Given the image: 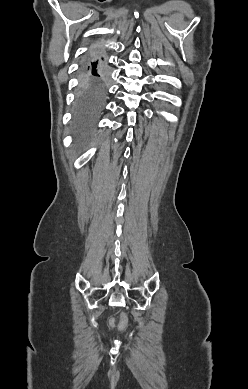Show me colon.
<instances>
[{"instance_id":"5ec220e1","label":"colon","mask_w":248,"mask_h":389,"mask_svg":"<svg viewBox=\"0 0 248 389\" xmlns=\"http://www.w3.org/2000/svg\"><path fill=\"white\" fill-rule=\"evenodd\" d=\"M129 324V319L125 311H122L121 313V320L119 324V329L121 331H126Z\"/></svg>"}]
</instances>
